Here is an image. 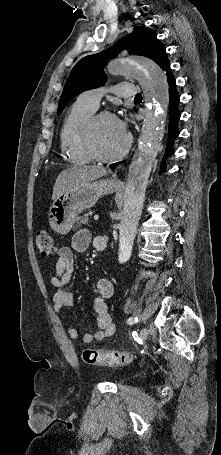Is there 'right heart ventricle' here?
<instances>
[{"label":"right heart ventricle","mask_w":221,"mask_h":455,"mask_svg":"<svg viewBox=\"0 0 221 455\" xmlns=\"http://www.w3.org/2000/svg\"><path fill=\"white\" fill-rule=\"evenodd\" d=\"M96 109L78 98L70 107L60 130L62 156L71 164H85L91 158L82 145V128Z\"/></svg>","instance_id":"right-heart-ventricle-1"}]
</instances>
